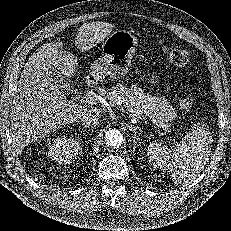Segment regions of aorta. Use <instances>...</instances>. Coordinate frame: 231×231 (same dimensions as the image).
Instances as JSON below:
<instances>
[{
  "label": "aorta",
  "instance_id": "aorta-1",
  "mask_svg": "<svg viewBox=\"0 0 231 231\" xmlns=\"http://www.w3.org/2000/svg\"><path fill=\"white\" fill-rule=\"evenodd\" d=\"M123 135L117 129H110L105 133L104 141L107 146L118 148L123 142Z\"/></svg>",
  "mask_w": 231,
  "mask_h": 231
}]
</instances>
